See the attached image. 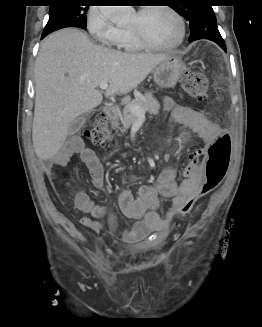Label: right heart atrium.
Listing matches in <instances>:
<instances>
[{
    "instance_id": "d8ad5b80",
    "label": "right heart atrium",
    "mask_w": 262,
    "mask_h": 327,
    "mask_svg": "<svg viewBox=\"0 0 262 327\" xmlns=\"http://www.w3.org/2000/svg\"><path fill=\"white\" fill-rule=\"evenodd\" d=\"M87 29L93 38L107 46H119L121 30L112 21L108 7L92 6L86 17Z\"/></svg>"
}]
</instances>
